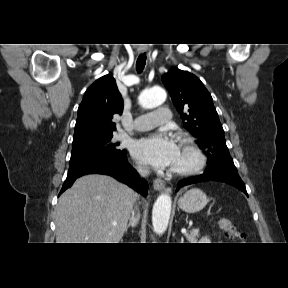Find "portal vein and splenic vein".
Here are the masks:
<instances>
[{"instance_id": "portal-vein-and-splenic-vein-1", "label": "portal vein and splenic vein", "mask_w": 288, "mask_h": 288, "mask_svg": "<svg viewBox=\"0 0 288 288\" xmlns=\"http://www.w3.org/2000/svg\"><path fill=\"white\" fill-rule=\"evenodd\" d=\"M113 225H116V223H114ZM181 232H182V234H186V229L183 228V229L181 230Z\"/></svg>"}]
</instances>
